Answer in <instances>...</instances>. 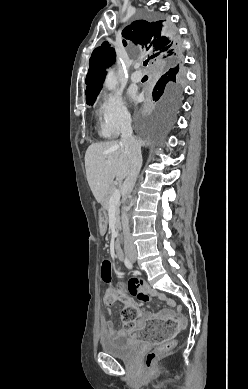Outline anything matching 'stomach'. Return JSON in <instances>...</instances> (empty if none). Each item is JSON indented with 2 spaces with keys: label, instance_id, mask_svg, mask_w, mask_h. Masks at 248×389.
I'll list each match as a JSON object with an SVG mask.
<instances>
[{
  "label": "stomach",
  "instance_id": "0dacf381",
  "mask_svg": "<svg viewBox=\"0 0 248 389\" xmlns=\"http://www.w3.org/2000/svg\"><path fill=\"white\" fill-rule=\"evenodd\" d=\"M100 212V229H99V234L100 235H105L107 231V220H110V213H107V208L106 207H101L99 209Z\"/></svg>",
  "mask_w": 248,
  "mask_h": 389
}]
</instances>
